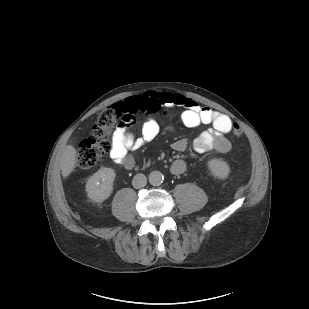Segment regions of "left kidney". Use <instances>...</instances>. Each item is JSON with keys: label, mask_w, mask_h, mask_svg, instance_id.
Instances as JSON below:
<instances>
[{"label": "left kidney", "mask_w": 309, "mask_h": 309, "mask_svg": "<svg viewBox=\"0 0 309 309\" xmlns=\"http://www.w3.org/2000/svg\"><path fill=\"white\" fill-rule=\"evenodd\" d=\"M208 167L211 170L212 175L219 179L227 178L230 173L229 165L220 159L210 160L208 162Z\"/></svg>", "instance_id": "1"}]
</instances>
